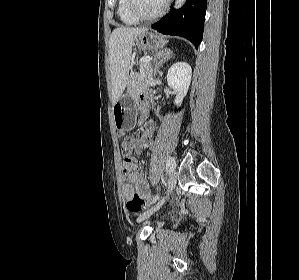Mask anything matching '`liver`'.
<instances>
[{
    "instance_id": "1",
    "label": "liver",
    "mask_w": 299,
    "mask_h": 280,
    "mask_svg": "<svg viewBox=\"0 0 299 280\" xmlns=\"http://www.w3.org/2000/svg\"><path fill=\"white\" fill-rule=\"evenodd\" d=\"M147 28H116L109 41V60L112 82V104L115 105L128 84V75L134 41Z\"/></svg>"
}]
</instances>
